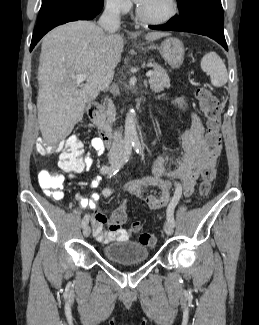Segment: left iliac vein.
I'll list each match as a JSON object with an SVG mask.
<instances>
[{
	"mask_svg": "<svg viewBox=\"0 0 259 325\" xmlns=\"http://www.w3.org/2000/svg\"><path fill=\"white\" fill-rule=\"evenodd\" d=\"M164 231L167 235L173 234V225L170 222H165L164 224Z\"/></svg>",
	"mask_w": 259,
	"mask_h": 325,
	"instance_id": "left-iliac-vein-1",
	"label": "left iliac vein"
}]
</instances>
